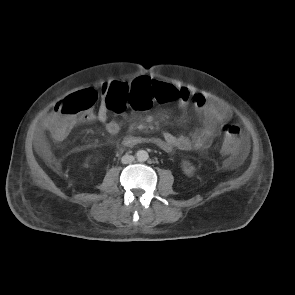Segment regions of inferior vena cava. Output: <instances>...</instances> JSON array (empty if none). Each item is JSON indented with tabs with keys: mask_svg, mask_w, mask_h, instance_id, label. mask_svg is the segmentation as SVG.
I'll return each instance as SVG.
<instances>
[{
	"mask_svg": "<svg viewBox=\"0 0 295 295\" xmlns=\"http://www.w3.org/2000/svg\"><path fill=\"white\" fill-rule=\"evenodd\" d=\"M134 159H135L134 156L126 154L122 157L121 162L123 164H129V163H132Z\"/></svg>",
	"mask_w": 295,
	"mask_h": 295,
	"instance_id": "602c4592",
	"label": "inferior vena cava"
}]
</instances>
